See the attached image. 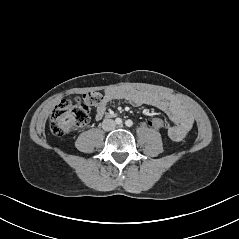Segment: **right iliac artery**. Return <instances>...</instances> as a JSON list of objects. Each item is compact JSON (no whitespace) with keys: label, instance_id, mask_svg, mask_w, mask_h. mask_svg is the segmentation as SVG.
<instances>
[{"label":"right iliac artery","instance_id":"82829eb1","mask_svg":"<svg viewBox=\"0 0 239 239\" xmlns=\"http://www.w3.org/2000/svg\"><path fill=\"white\" fill-rule=\"evenodd\" d=\"M115 122H116V124L121 125L122 124V119L121 118H116Z\"/></svg>","mask_w":239,"mask_h":239}]
</instances>
